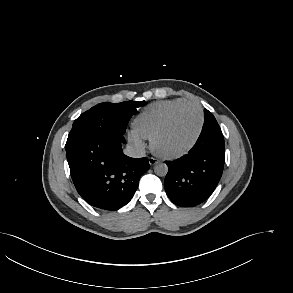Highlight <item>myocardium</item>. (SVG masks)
Segmentation results:
<instances>
[{"mask_svg":"<svg viewBox=\"0 0 293 293\" xmlns=\"http://www.w3.org/2000/svg\"><path fill=\"white\" fill-rule=\"evenodd\" d=\"M187 107H194L199 111L200 114V124H199V128L193 138V140L189 143V145H187L184 149L177 151V152H164L162 150L159 149L158 147V140L161 137V135L167 130V128L170 126L171 122L173 121V119L175 118V116L182 111L183 109L187 108ZM204 124H205V115H204V111L202 109V107L195 103V102H188L185 104H182L178 107H176L175 109H173L169 115L166 117V119L163 121V123L160 125V127L155 131V133L153 134V136L151 137V147L152 150L154 151V153L156 155H158L159 157L165 158V159H178L181 158L185 155H187L197 144L203 128H204Z\"/></svg>","mask_w":293,"mask_h":293,"instance_id":"myocardium-1","label":"myocardium"}]
</instances>
